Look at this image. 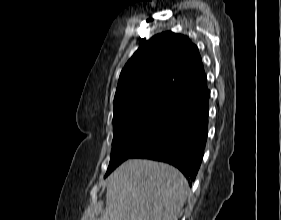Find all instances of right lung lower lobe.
Returning <instances> with one entry per match:
<instances>
[{
    "instance_id": "1",
    "label": "right lung lower lobe",
    "mask_w": 281,
    "mask_h": 220,
    "mask_svg": "<svg viewBox=\"0 0 281 220\" xmlns=\"http://www.w3.org/2000/svg\"><path fill=\"white\" fill-rule=\"evenodd\" d=\"M209 97L208 90L179 106L130 158L169 163L177 167L191 185L204 155Z\"/></svg>"
}]
</instances>
